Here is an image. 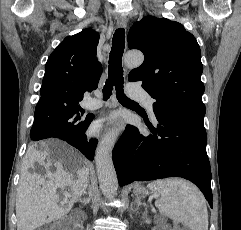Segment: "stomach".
<instances>
[{
    "label": "stomach",
    "mask_w": 241,
    "mask_h": 230,
    "mask_svg": "<svg viewBox=\"0 0 241 230\" xmlns=\"http://www.w3.org/2000/svg\"><path fill=\"white\" fill-rule=\"evenodd\" d=\"M134 193L140 197H144L148 194V191L144 187L138 186L134 189Z\"/></svg>",
    "instance_id": "stomach-1"
}]
</instances>
